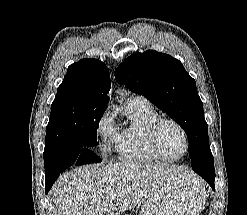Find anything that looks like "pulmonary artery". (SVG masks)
I'll use <instances>...</instances> for the list:
<instances>
[{"mask_svg":"<svg viewBox=\"0 0 247 215\" xmlns=\"http://www.w3.org/2000/svg\"><path fill=\"white\" fill-rule=\"evenodd\" d=\"M133 101H137V102H140V103H148L147 99L144 98L143 96H135L133 97L132 99Z\"/></svg>","mask_w":247,"mask_h":215,"instance_id":"obj_1","label":"pulmonary artery"}]
</instances>
